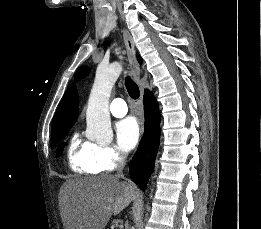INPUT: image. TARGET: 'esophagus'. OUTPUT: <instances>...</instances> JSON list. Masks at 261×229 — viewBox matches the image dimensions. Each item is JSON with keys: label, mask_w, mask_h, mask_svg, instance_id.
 <instances>
[{"label": "esophagus", "mask_w": 261, "mask_h": 229, "mask_svg": "<svg viewBox=\"0 0 261 229\" xmlns=\"http://www.w3.org/2000/svg\"><path fill=\"white\" fill-rule=\"evenodd\" d=\"M123 39H124V44L126 47V52L131 68V73L134 77V79L139 83L140 85V99L142 100L143 98V87L140 84V77H141V70H140V65L136 57V50H135V44L132 39V36L130 33L124 28L123 29Z\"/></svg>", "instance_id": "34e87169"}]
</instances>
